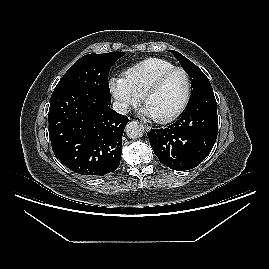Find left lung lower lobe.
<instances>
[{
	"instance_id": "obj_1",
	"label": "left lung lower lobe",
	"mask_w": 269,
	"mask_h": 269,
	"mask_svg": "<svg viewBox=\"0 0 269 269\" xmlns=\"http://www.w3.org/2000/svg\"><path fill=\"white\" fill-rule=\"evenodd\" d=\"M218 129L216 100L212 88L190 99L180 119L167 128L148 133L160 162L173 170H190L211 152Z\"/></svg>"
}]
</instances>
